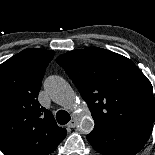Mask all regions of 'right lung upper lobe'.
<instances>
[{"label": "right lung upper lobe", "mask_w": 155, "mask_h": 155, "mask_svg": "<svg viewBox=\"0 0 155 155\" xmlns=\"http://www.w3.org/2000/svg\"><path fill=\"white\" fill-rule=\"evenodd\" d=\"M54 54L28 48L0 65V149L6 155H49L66 136L38 102Z\"/></svg>", "instance_id": "1"}]
</instances>
